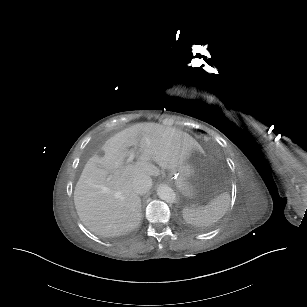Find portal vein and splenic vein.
<instances>
[{"instance_id": "1", "label": "portal vein and splenic vein", "mask_w": 307, "mask_h": 307, "mask_svg": "<svg viewBox=\"0 0 307 307\" xmlns=\"http://www.w3.org/2000/svg\"><path fill=\"white\" fill-rule=\"evenodd\" d=\"M135 156H136V147L129 151V158L126 160V163L130 164L131 161L135 158ZM102 190H103V192H107L109 190V188L102 187Z\"/></svg>"}]
</instances>
